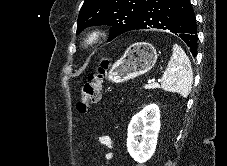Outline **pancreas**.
<instances>
[{
	"label": "pancreas",
	"instance_id": "1",
	"mask_svg": "<svg viewBox=\"0 0 227 166\" xmlns=\"http://www.w3.org/2000/svg\"><path fill=\"white\" fill-rule=\"evenodd\" d=\"M145 89H157L159 88V85H154V84H148L144 86Z\"/></svg>",
	"mask_w": 227,
	"mask_h": 166
}]
</instances>
